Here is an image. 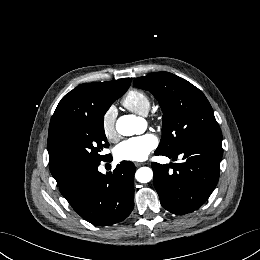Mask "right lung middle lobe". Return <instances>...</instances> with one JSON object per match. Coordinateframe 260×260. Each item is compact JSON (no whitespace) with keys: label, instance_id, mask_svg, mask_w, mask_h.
I'll return each instance as SVG.
<instances>
[{"label":"right lung middle lobe","instance_id":"obj_1","mask_svg":"<svg viewBox=\"0 0 260 260\" xmlns=\"http://www.w3.org/2000/svg\"><path fill=\"white\" fill-rule=\"evenodd\" d=\"M123 93H105L96 98L88 113L81 116L62 140V157L67 170L90 167L104 161L101 155L109 143L104 132V115L111 104Z\"/></svg>","mask_w":260,"mask_h":260}]
</instances>
